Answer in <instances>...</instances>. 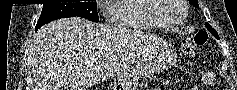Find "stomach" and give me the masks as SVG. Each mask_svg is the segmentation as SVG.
<instances>
[{
  "label": "stomach",
  "instance_id": "stomach-1",
  "mask_svg": "<svg viewBox=\"0 0 237 90\" xmlns=\"http://www.w3.org/2000/svg\"><path fill=\"white\" fill-rule=\"evenodd\" d=\"M173 61L174 57L168 53L146 59L117 75L109 90H132L141 79L165 71Z\"/></svg>",
  "mask_w": 237,
  "mask_h": 90
}]
</instances>
